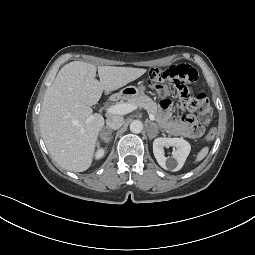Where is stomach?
Instances as JSON below:
<instances>
[{"instance_id": "obj_1", "label": "stomach", "mask_w": 255, "mask_h": 255, "mask_svg": "<svg viewBox=\"0 0 255 255\" xmlns=\"http://www.w3.org/2000/svg\"><path fill=\"white\" fill-rule=\"evenodd\" d=\"M145 89H146V87L143 84H139L137 87L128 86L120 92V95L123 98H128L129 99V98H132V97L143 94Z\"/></svg>"}]
</instances>
